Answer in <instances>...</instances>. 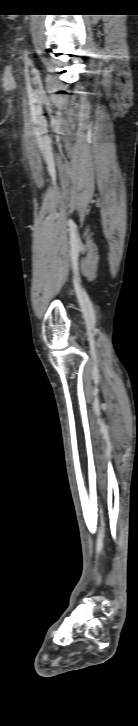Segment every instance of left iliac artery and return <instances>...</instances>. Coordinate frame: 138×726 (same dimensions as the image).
<instances>
[{
  "label": "left iliac artery",
  "mask_w": 138,
  "mask_h": 726,
  "mask_svg": "<svg viewBox=\"0 0 138 726\" xmlns=\"http://www.w3.org/2000/svg\"><path fill=\"white\" fill-rule=\"evenodd\" d=\"M24 56H25V59L28 60V51L27 50L24 51Z\"/></svg>",
  "instance_id": "1"
}]
</instances>
